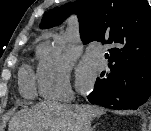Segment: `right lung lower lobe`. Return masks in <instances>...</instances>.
Returning a JSON list of instances; mask_svg holds the SVG:
<instances>
[{"label": "right lung lower lobe", "mask_w": 151, "mask_h": 131, "mask_svg": "<svg viewBox=\"0 0 151 131\" xmlns=\"http://www.w3.org/2000/svg\"><path fill=\"white\" fill-rule=\"evenodd\" d=\"M151 95V64L138 69L111 68L107 78L97 79L87 97L92 104L110 109H137Z\"/></svg>", "instance_id": "right-lung-lower-lobe-1"}]
</instances>
